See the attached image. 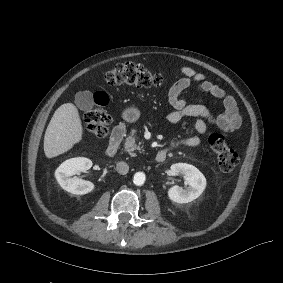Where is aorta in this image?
Returning a JSON list of instances; mask_svg holds the SVG:
<instances>
[{"label":"aorta","instance_id":"762f6f07","mask_svg":"<svg viewBox=\"0 0 283 283\" xmlns=\"http://www.w3.org/2000/svg\"><path fill=\"white\" fill-rule=\"evenodd\" d=\"M145 180H146V177H145V174L143 172H137V173L134 174L133 183L136 186L143 185Z\"/></svg>","mask_w":283,"mask_h":283}]
</instances>
